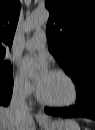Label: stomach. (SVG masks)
<instances>
[{"label":"stomach","instance_id":"stomach-1","mask_svg":"<svg viewBox=\"0 0 95 130\" xmlns=\"http://www.w3.org/2000/svg\"><path fill=\"white\" fill-rule=\"evenodd\" d=\"M44 130H80V126L73 119L50 120L47 124L41 123Z\"/></svg>","mask_w":95,"mask_h":130}]
</instances>
